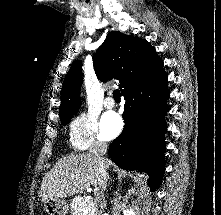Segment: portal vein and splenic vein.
Returning <instances> with one entry per match:
<instances>
[{
    "instance_id": "18ae733b",
    "label": "portal vein and splenic vein",
    "mask_w": 221,
    "mask_h": 215,
    "mask_svg": "<svg viewBox=\"0 0 221 215\" xmlns=\"http://www.w3.org/2000/svg\"><path fill=\"white\" fill-rule=\"evenodd\" d=\"M91 200V196H86L84 202H89Z\"/></svg>"
}]
</instances>
